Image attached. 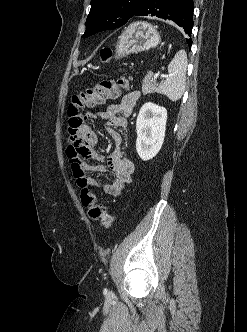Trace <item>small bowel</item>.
Here are the masks:
<instances>
[{
    "mask_svg": "<svg viewBox=\"0 0 247 332\" xmlns=\"http://www.w3.org/2000/svg\"><path fill=\"white\" fill-rule=\"evenodd\" d=\"M137 102V93H131L122 98L119 103H113L101 112H88L82 127L70 134V143L66 154L70 162L73 176L77 185L82 188L97 186L106 194L117 196L131 180L135 165L121 148L122 137L116 128L127 126V117L132 113ZM105 121V130L115 143L114 150L109 155H104L95 150L97 135L86 124L89 120ZM88 160L95 161L90 164ZM110 173L106 181L92 177L91 173Z\"/></svg>",
    "mask_w": 247,
    "mask_h": 332,
    "instance_id": "obj_1",
    "label": "small bowel"
}]
</instances>
